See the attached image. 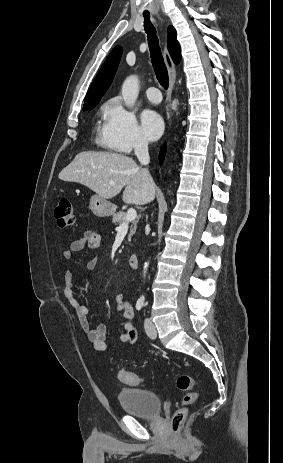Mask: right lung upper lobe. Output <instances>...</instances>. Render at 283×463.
I'll return each mask as SVG.
<instances>
[{"mask_svg": "<svg viewBox=\"0 0 283 463\" xmlns=\"http://www.w3.org/2000/svg\"><path fill=\"white\" fill-rule=\"evenodd\" d=\"M168 50L174 62L179 63L181 59L180 45L177 41L176 31L172 26L168 27ZM122 52V47L118 45L109 54L87 92L84 106L97 104L100 101L113 80Z\"/></svg>", "mask_w": 283, "mask_h": 463, "instance_id": "cb5924a9", "label": "right lung upper lobe"}]
</instances>
